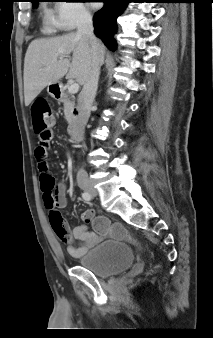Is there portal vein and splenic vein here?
Returning <instances> with one entry per match:
<instances>
[{
  "label": "portal vein and splenic vein",
  "mask_w": 213,
  "mask_h": 338,
  "mask_svg": "<svg viewBox=\"0 0 213 338\" xmlns=\"http://www.w3.org/2000/svg\"><path fill=\"white\" fill-rule=\"evenodd\" d=\"M79 90V84L78 83H73L69 86L68 88V92L69 93H72V94H75L77 93Z\"/></svg>",
  "instance_id": "1"
}]
</instances>
